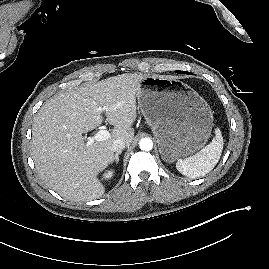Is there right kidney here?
I'll return each mask as SVG.
<instances>
[{"instance_id": "right-kidney-1", "label": "right kidney", "mask_w": 269, "mask_h": 269, "mask_svg": "<svg viewBox=\"0 0 269 269\" xmlns=\"http://www.w3.org/2000/svg\"><path fill=\"white\" fill-rule=\"evenodd\" d=\"M112 176H113V171H108V172L104 175V177L107 178V179L111 178Z\"/></svg>"}]
</instances>
